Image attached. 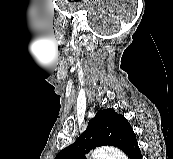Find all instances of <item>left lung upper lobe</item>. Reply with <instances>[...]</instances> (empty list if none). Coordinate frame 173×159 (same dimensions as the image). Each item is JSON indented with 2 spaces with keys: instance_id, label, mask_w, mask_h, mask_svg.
I'll return each mask as SVG.
<instances>
[{
  "instance_id": "obj_1",
  "label": "left lung upper lobe",
  "mask_w": 173,
  "mask_h": 159,
  "mask_svg": "<svg viewBox=\"0 0 173 159\" xmlns=\"http://www.w3.org/2000/svg\"><path fill=\"white\" fill-rule=\"evenodd\" d=\"M135 144L136 135L127 119L113 109H105L98 111L76 142L61 150L55 159H86L90 149L103 145L117 147L127 154Z\"/></svg>"
}]
</instances>
